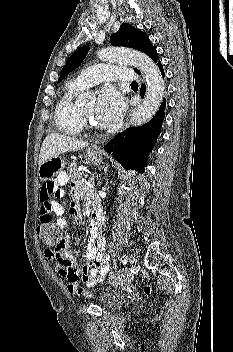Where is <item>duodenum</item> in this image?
Returning <instances> with one entry per match:
<instances>
[{
	"instance_id": "obj_1",
	"label": "duodenum",
	"mask_w": 233,
	"mask_h": 352,
	"mask_svg": "<svg viewBox=\"0 0 233 352\" xmlns=\"http://www.w3.org/2000/svg\"><path fill=\"white\" fill-rule=\"evenodd\" d=\"M91 214L97 216L100 213V207L98 202L95 199H92L90 202Z\"/></svg>"
}]
</instances>
